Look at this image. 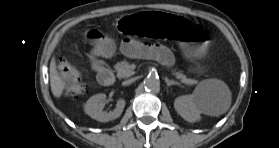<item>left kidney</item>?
I'll return each instance as SVG.
<instances>
[{"mask_svg": "<svg viewBox=\"0 0 279 148\" xmlns=\"http://www.w3.org/2000/svg\"><path fill=\"white\" fill-rule=\"evenodd\" d=\"M175 110L188 122H196L205 111V103L195 94L184 95L175 99Z\"/></svg>", "mask_w": 279, "mask_h": 148, "instance_id": "1", "label": "left kidney"}]
</instances>
